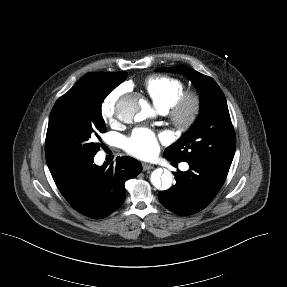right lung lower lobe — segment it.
<instances>
[{
  "label": "right lung lower lobe",
  "mask_w": 287,
  "mask_h": 287,
  "mask_svg": "<svg viewBox=\"0 0 287 287\" xmlns=\"http://www.w3.org/2000/svg\"><path fill=\"white\" fill-rule=\"evenodd\" d=\"M93 158L66 169L54 181L75 210L101 219L122 205L126 196L124 184L142 171V165L132 157L123 156L117 157L115 165L97 166Z\"/></svg>",
  "instance_id": "right-lung-lower-lobe-1"
}]
</instances>
